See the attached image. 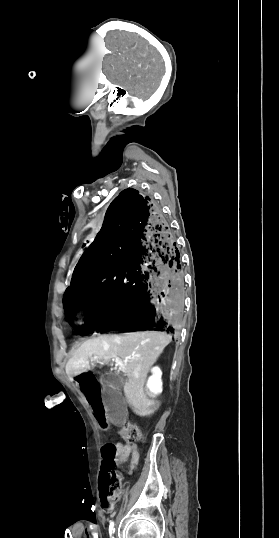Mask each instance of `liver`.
I'll list each match as a JSON object with an SVG mask.
<instances>
[{"instance_id":"obj_1","label":"liver","mask_w":279,"mask_h":538,"mask_svg":"<svg viewBox=\"0 0 279 538\" xmlns=\"http://www.w3.org/2000/svg\"><path fill=\"white\" fill-rule=\"evenodd\" d=\"M170 342L171 338L165 332H131L121 336L93 338L75 350L66 366V372L69 376H74L91 370L89 358L92 356H98L103 362L120 358L128 378L124 386L127 402L132 404L138 416H150L154 414L156 404L153 400H148L144 392L145 380L151 366Z\"/></svg>"}]
</instances>
